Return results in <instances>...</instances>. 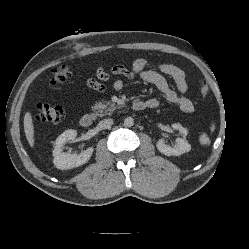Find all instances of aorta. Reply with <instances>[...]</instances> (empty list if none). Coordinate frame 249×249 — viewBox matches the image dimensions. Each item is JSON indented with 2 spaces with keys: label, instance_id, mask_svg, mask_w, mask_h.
I'll use <instances>...</instances> for the list:
<instances>
[{
  "label": "aorta",
  "instance_id": "obj_1",
  "mask_svg": "<svg viewBox=\"0 0 249 249\" xmlns=\"http://www.w3.org/2000/svg\"><path fill=\"white\" fill-rule=\"evenodd\" d=\"M133 124H134V119L133 118H131V117L125 118L124 125L126 127H131V126H133Z\"/></svg>",
  "mask_w": 249,
  "mask_h": 249
}]
</instances>
